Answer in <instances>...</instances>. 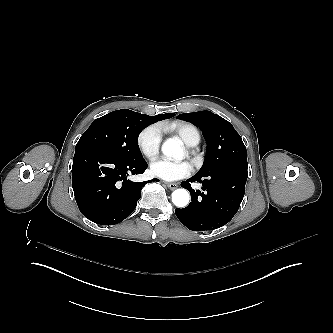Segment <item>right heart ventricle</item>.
<instances>
[{
    "mask_svg": "<svg viewBox=\"0 0 333 333\" xmlns=\"http://www.w3.org/2000/svg\"><path fill=\"white\" fill-rule=\"evenodd\" d=\"M158 131L160 134H162V127H159ZM175 135L181 138L182 141L190 147H194L200 142V133L197 128L191 124H178L175 130Z\"/></svg>",
    "mask_w": 333,
    "mask_h": 333,
    "instance_id": "right-heart-ventricle-1",
    "label": "right heart ventricle"
}]
</instances>
